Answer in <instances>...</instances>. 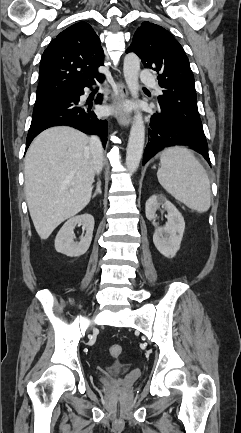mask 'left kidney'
I'll use <instances>...</instances> for the list:
<instances>
[{
	"label": "left kidney",
	"mask_w": 241,
	"mask_h": 433,
	"mask_svg": "<svg viewBox=\"0 0 241 433\" xmlns=\"http://www.w3.org/2000/svg\"><path fill=\"white\" fill-rule=\"evenodd\" d=\"M167 211V223L155 229L153 242L157 250L167 258L175 257L180 249L185 229L184 218L177 208L161 194L152 195L146 202L145 214L150 221L156 219L158 208Z\"/></svg>",
	"instance_id": "left-kidney-1"
}]
</instances>
